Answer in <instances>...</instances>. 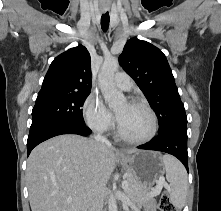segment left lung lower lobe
Returning a JSON list of instances; mask_svg holds the SVG:
<instances>
[{
  "mask_svg": "<svg viewBox=\"0 0 221 211\" xmlns=\"http://www.w3.org/2000/svg\"><path fill=\"white\" fill-rule=\"evenodd\" d=\"M138 148L169 153L178 158L188 171L187 125L175 126L159 133L156 138Z\"/></svg>",
  "mask_w": 221,
  "mask_h": 211,
  "instance_id": "1",
  "label": "left lung lower lobe"
}]
</instances>
